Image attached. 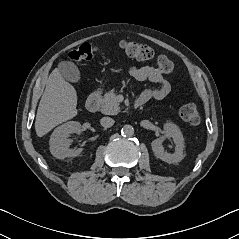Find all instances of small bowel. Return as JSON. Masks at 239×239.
Masks as SVG:
<instances>
[{
	"instance_id": "small-bowel-1",
	"label": "small bowel",
	"mask_w": 239,
	"mask_h": 239,
	"mask_svg": "<svg viewBox=\"0 0 239 239\" xmlns=\"http://www.w3.org/2000/svg\"><path fill=\"white\" fill-rule=\"evenodd\" d=\"M130 75L137 81H150L151 83L157 84L156 88L144 89L138 97V101H142L144 104L151 99L162 100L171 91V85L166 80L164 73L153 66H132L129 69Z\"/></svg>"
}]
</instances>
